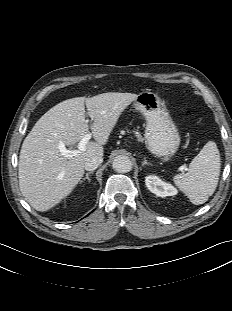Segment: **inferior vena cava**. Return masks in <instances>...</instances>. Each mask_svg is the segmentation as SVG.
<instances>
[{
	"mask_svg": "<svg viewBox=\"0 0 232 311\" xmlns=\"http://www.w3.org/2000/svg\"><path fill=\"white\" fill-rule=\"evenodd\" d=\"M103 162V157L101 156H94L89 159L84 164V168L87 171L95 170L101 163Z\"/></svg>",
	"mask_w": 232,
	"mask_h": 311,
	"instance_id": "obj_1",
	"label": "inferior vena cava"
}]
</instances>
